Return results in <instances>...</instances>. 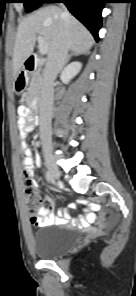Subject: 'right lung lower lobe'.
Instances as JSON below:
<instances>
[{
  "mask_svg": "<svg viewBox=\"0 0 136 296\" xmlns=\"http://www.w3.org/2000/svg\"><path fill=\"white\" fill-rule=\"evenodd\" d=\"M106 2V0H47L46 3H64L68 10L89 29L98 41L102 9Z\"/></svg>",
  "mask_w": 136,
  "mask_h": 296,
  "instance_id": "1",
  "label": "right lung lower lobe"
}]
</instances>
